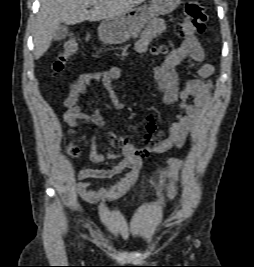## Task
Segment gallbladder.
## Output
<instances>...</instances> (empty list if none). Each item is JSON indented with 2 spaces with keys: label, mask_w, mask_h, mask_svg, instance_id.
Returning a JSON list of instances; mask_svg holds the SVG:
<instances>
[{
  "label": "gallbladder",
  "mask_w": 254,
  "mask_h": 267,
  "mask_svg": "<svg viewBox=\"0 0 254 267\" xmlns=\"http://www.w3.org/2000/svg\"><path fill=\"white\" fill-rule=\"evenodd\" d=\"M68 35V26L67 25H59L54 34V40L59 41L64 39Z\"/></svg>",
  "instance_id": "gallbladder-1"
}]
</instances>
